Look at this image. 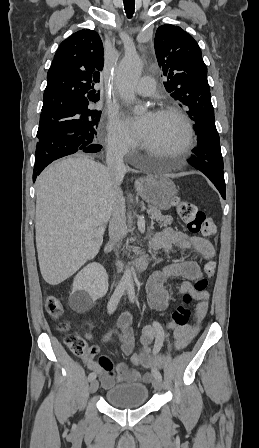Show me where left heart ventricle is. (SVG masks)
I'll return each mask as SVG.
<instances>
[{"instance_id":"b2bd125f","label":"left heart ventricle","mask_w":259,"mask_h":448,"mask_svg":"<svg viewBox=\"0 0 259 448\" xmlns=\"http://www.w3.org/2000/svg\"><path fill=\"white\" fill-rule=\"evenodd\" d=\"M184 128L180 120L172 115H156L139 134L140 143L160 155H171L169 150L183 137Z\"/></svg>"}]
</instances>
